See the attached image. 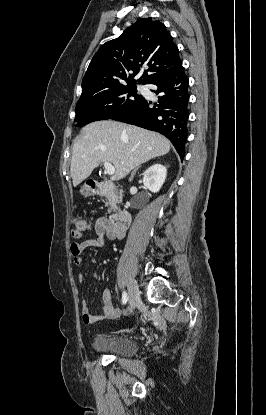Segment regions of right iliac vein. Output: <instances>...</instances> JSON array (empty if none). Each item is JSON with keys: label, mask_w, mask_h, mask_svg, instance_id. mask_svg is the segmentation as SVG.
Returning a JSON list of instances; mask_svg holds the SVG:
<instances>
[{"label": "right iliac vein", "mask_w": 266, "mask_h": 415, "mask_svg": "<svg viewBox=\"0 0 266 415\" xmlns=\"http://www.w3.org/2000/svg\"><path fill=\"white\" fill-rule=\"evenodd\" d=\"M130 310L134 309L140 302V291L134 281L128 284Z\"/></svg>", "instance_id": "obj_1"}]
</instances>
